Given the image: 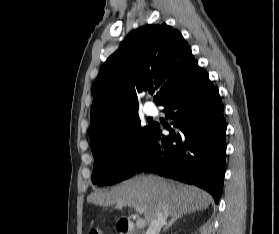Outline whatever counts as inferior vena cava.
I'll return each instance as SVG.
<instances>
[{
    "mask_svg": "<svg viewBox=\"0 0 279 234\" xmlns=\"http://www.w3.org/2000/svg\"><path fill=\"white\" fill-rule=\"evenodd\" d=\"M167 217V211L158 210L156 213V217L150 222L146 234H159L162 227L166 223Z\"/></svg>",
    "mask_w": 279,
    "mask_h": 234,
    "instance_id": "inferior-vena-cava-1",
    "label": "inferior vena cava"
}]
</instances>
